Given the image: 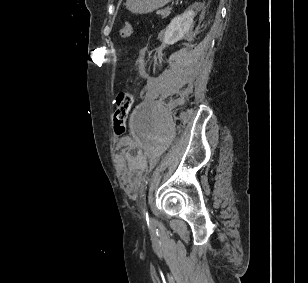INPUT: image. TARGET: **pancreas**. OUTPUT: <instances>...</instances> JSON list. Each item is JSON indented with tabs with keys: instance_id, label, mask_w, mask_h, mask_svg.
Listing matches in <instances>:
<instances>
[{
	"instance_id": "1",
	"label": "pancreas",
	"mask_w": 308,
	"mask_h": 283,
	"mask_svg": "<svg viewBox=\"0 0 308 283\" xmlns=\"http://www.w3.org/2000/svg\"><path fill=\"white\" fill-rule=\"evenodd\" d=\"M158 14L161 15L162 18H166L169 16L170 11L169 9H165V10L159 11Z\"/></svg>"
}]
</instances>
